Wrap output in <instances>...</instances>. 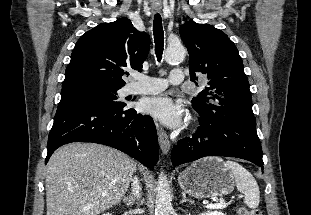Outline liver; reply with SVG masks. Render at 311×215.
Returning a JSON list of instances; mask_svg holds the SVG:
<instances>
[{
  "instance_id": "6515ba94",
  "label": "liver",
  "mask_w": 311,
  "mask_h": 215,
  "mask_svg": "<svg viewBox=\"0 0 311 215\" xmlns=\"http://www.w3.org/2000/svg\"><path fill=\"white\" fill-rule=\"evenodd\" d=\"M136 163L113 148L70 143L47 164V215H98L124 197Z\"/></svg>"
}]
</instances>
